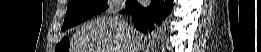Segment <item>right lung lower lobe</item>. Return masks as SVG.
<instances>
[{"instance_id": "98d812e1", "label": "right lung lower lobe", "mask_w": 261, "mask_h": 52, "mask_svg": "<svg viewBox=\"0 0 261 52\" xmlns=\"http://www.w3.org/2000/svg\"><path fill=\"white\" fill-rule=\"evenodd\" d=\"M172 0H151L149 7L139 5L136 0H128L124 13L133 14L135 27L147 33L157 29L172 11Z\"/></svg>"}]
</instances>
